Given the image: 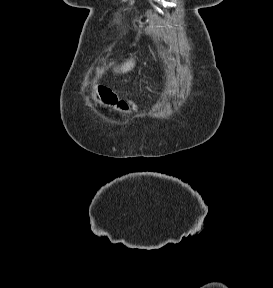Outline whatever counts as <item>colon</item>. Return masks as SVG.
I'll list each match as a JSON object with an SVG mask.
<instances>
[{
	"mask_svg": "<svg viewBox=\"0 0 273 288\" xmlns=\"http://www.w3.org/2000/svg\"><path fill=\"white\" fill-rule=\"evenodd\" d=\"M96 97L98 100L102 101L105 104L117 106L122 110L128 109V104L124 101H119L117 97L107 88L99 87L96 90Z\"/></svg>",
	"mask_w": 273,
	"mask_h": 288,
	"instance_id": "5ec220e1",
	"label": "colon"
}]
</instances>
